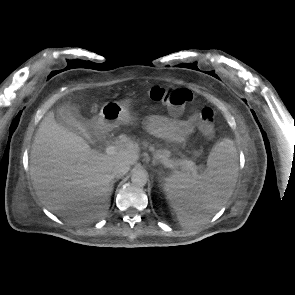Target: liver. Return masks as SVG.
<instances>
[{
    "label": "liver",
    "instance_id": "6515ba94",
    "mask_svg": "<svg viewBox=\"0 0 295 295\" xmlns=\"http://www.w3.org/2000/svg\"><path fill=\"white\" fill-rule=\"evenodd\" d=\"M138 159L139 147L131 142L115 155L92 150L82 137L59 125L50 111L32 145L30 175L47 209L69 220L95 219L109 209L114 164L134 165Z\"/></svg>",
    "mask_w": 295,
    "mask_h": 295
}]
</instances>
